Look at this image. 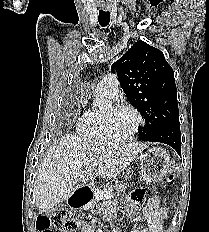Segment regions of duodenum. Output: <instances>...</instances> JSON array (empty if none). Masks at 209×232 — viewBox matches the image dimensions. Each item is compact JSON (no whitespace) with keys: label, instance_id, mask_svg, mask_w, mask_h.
<instances>
[{"label":"duodenum","instance_id":"duodenum-1","mask_svg":"<svg viewBox=\"0 0 209 232\" xmlns=\"http://www.w3.org/2000/svg\"><path fill=\"white\" fill-rule=\"evenodd\" d=\"M92 198V191L86 185L78 186L69 198L70 205L79 209L87 205Z\"/></svg>","mask_w":209,"mask_h":232}]
</instances>
